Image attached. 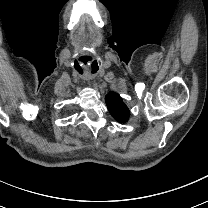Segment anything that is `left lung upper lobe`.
Instances as JSON below:
<instances>
[{"mask_svg": "<svg viewBox=\"0 0 208 208\" xmlns=\"http://www.w3.org/2000/svg\"><path fill=\"white\" fill-rule=\"evenodd\" d=\"M108 110L111 115L119 122H126L129 119V109L123 103L122 98L114 93H109L105 98Z\"/></svg>", "mask_w": 208, "mask_h": 208, "instance_id": "5c2ea615", "label": "left lung upper lobe"}]
</instances>
